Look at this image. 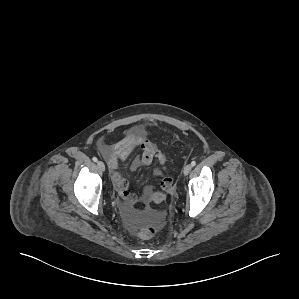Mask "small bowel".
I'll use <instances>...</instances> for the list:
<instances>
[{
    "mask_svg": "<svg viewBox=\"0 0 299 299\" xmlns=\"http://www.w3.org/2000/svg\"><path fill=\"white\" fill-rule=\"evenodd\" d=\"M100 151L108 161L112 179L116 185L120 198V206L125 215L133 218L136 215L135 206L145 204L153 195L150 187H145L141 194H133L129 191L128 182L120 174V165L127 160L130 154L141 149V154L135 156L130 162V169L136 170L140 166H149L154 162L164 165L166 158L162 151L148 138V132L144 129H133L121 140L114 143L101 142ZM157 173V171H155ZM166 183L171 185V179L166 176L161 182L162 189Z\"/></svg>",
    "mask_w": 299,
    "mask_h": 299,
    "instance_id": "1",
    "label": "small bowel"
}]
</instances>
